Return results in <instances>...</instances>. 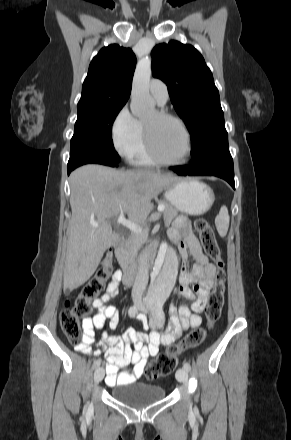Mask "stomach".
Segmentation results:
<instances>
[{"label":"stomach","instance_id":"stomach-1","mask_svg":"<svg viewBox=\"0 0 291 440\" xmlns=\"http://www.w3.org/2000/svg\"><path fill=\"white\" fill-rule=\"evenodd\" d=\"M164 196L180 212L195 216L206 213L215 201L214 192L207 184L191 178L174 182L165 189Z\"/></svg>","mask_w":291,"mask_h":440}]
</instances>
